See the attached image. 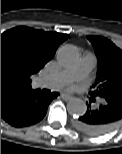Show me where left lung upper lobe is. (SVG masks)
Instances as JSON below:
<instances>
[{
	"mask_svg": "<svg viewBox=\"0 0 122 154\" xmlns=\"http://www.w3.org/2000/svg\"><path fill=\"white\" fill-rule=\"evenodd\" d=\"M98 58V77L89 95L101 100L109 93L122 90V50L104 37L87 36Z\"/></svg>",
	"mask_w": 122,
	"mask_h": 154,
	"instance_id": "obj_1",
	"label": "left lung upper lobe"
}]
</instances>
